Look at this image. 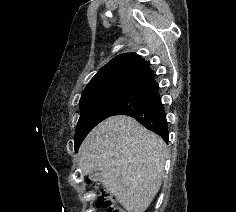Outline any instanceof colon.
<instances>
[{
  "label": "colon",
  "mask_w": 236,
  "mask_h": 212,
  "mask_svg": "<svg viewBox=\"0 0 236 212\" xmlns=\"http://www.w3.org/2000/svg\"><path fill=\"white\" fill-rule=\"evenodd\" d=\"M98 206L103 207L107 212H125L116 202L114 196L108 191H101L96 199Z\"/></svg>",
  "instance_id": "colon-1"
}]
</instances>
